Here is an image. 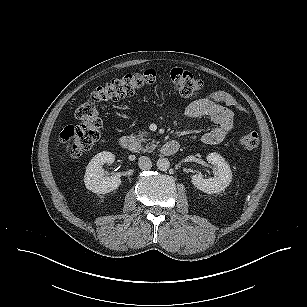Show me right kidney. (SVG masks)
Here are the masks:
<instances>
[{
	"label": "right kidney",
	"instance_id": "obj_1",
	"mask_svg": "<svg viewBox=\"0 0 307 307\" xmlns=\"http://www.w3.org/2000/svg\"><path fill=\"white\" fill-rule=\"evenodd\" d=\"M115 155L108 151H103L95 155L86 167L84 183L88 190L97 194H106L116 190L121 179L117 176H104L102 166L105 163H113Z\"/></svg>",
	"mask_w": 307,
	"mask_h": 307
}]
</instances>
